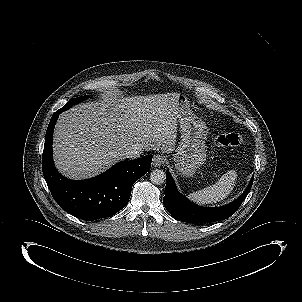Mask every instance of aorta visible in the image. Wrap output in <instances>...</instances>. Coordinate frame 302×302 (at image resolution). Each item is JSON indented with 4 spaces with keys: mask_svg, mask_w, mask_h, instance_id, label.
<instances>
[{
    "mask_svg": "<svg viewBox=\"0 0 302 302\" xmlns=\"http://www.w3.org/2000/svg\"><path fill=\"white\" fill-rule=\"evenodd\" d=\"M165 180L166 175L163 170L155 169L150 173V181L155 185H161Z\"/></svg>",
    "mask_w": 302,
    "mask_h": 302,
    "instance_id": "obj_1",
    "label": "aorta"
}]
</instances>
